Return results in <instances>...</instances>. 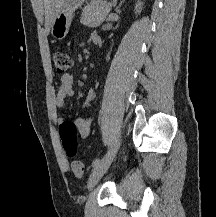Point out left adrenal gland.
Listing matches in <instances>:
<instances>
[{"label":"left adrenal gland","mask_w":216,"mask_h":217,"mask_svg":"<svg viewBox=\"0 0 216 217\" xmlns=\"http://www.w3.org/2000/svg\"><path fill=\"white\" fill-rule=\"evenodd\" d=\"M124 1H125V0H121V1H120L119 5L116 7V11H119V8L121 7V5L123 4Z\"/></svg>","instance_id":"a2214340"}]
</instances>
